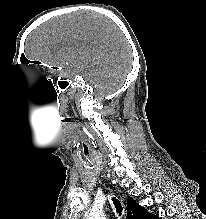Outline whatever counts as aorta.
<instances>
[{"instance_id": "aorta-1", "label": "aorta", "mask_w": 206, "mask_h": 219, "mask_svg": "<svg viewBox=\"0 0 206 219\" xmlns=\"http://www.w3.org/2000/svg\"><path fill=\"white\" fill-rule=\"evenodd\" d=\"M89 219H105V217L102 214L94 213V214H91Z\"/></svg>"}]
</instances>
